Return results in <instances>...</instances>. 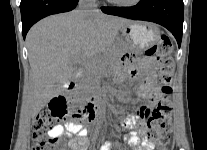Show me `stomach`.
<instances>
[{
  "mask_svg": "<svg viewBox=\"0 0 207 150\" xmlns=\"http://www.w3.org/2000/svg\"><path fill=\"white\" fill-rule=\"evenodd\" d=\"M159 30L150 25H143L136 22H129L121 29L118 37V55L127 48V44L143 50L157 42Z\"/></svg>",
  "mask_w": 207,
  "mask_h": 150,
  "instance_id": "obj_1",
  "label": "stomach"
}]
</instances>
